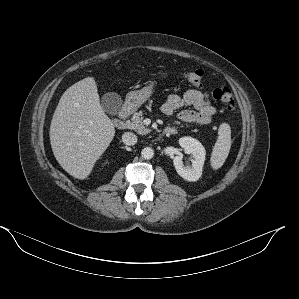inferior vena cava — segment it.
Segmentation results:
<instances>
[{"instance_id": "602c4592", "label": "inferior vena cava", "mask_w": 299, "mask_h": 299, "mask_svg": "<svg viewBox=\"0 0 299 299\" xmlns=\"http://www.w3.org/2000/svg\"><path fill=\"white\" fill-rule=\"evenodd\" d=\"M137 136L132 132H125L122 135V141L125 145H135L137 143Z\"/></svg>"}]
</instances>
